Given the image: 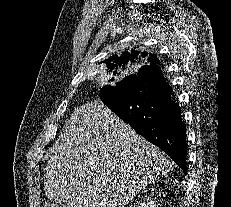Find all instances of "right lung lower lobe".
<instances>
[{"label": "right lung lower lobe", "mask_w": 231, "mask_h": 207, "mask_svg": "<svg viewBox=\"0 0 231 207\" xmlns=\"http://www.w3.org/2000/svg\"><path fill=\"white\" fill-rule=\"evenodd\" d=\"M172 88L157 65H145L100 96L138 134L167 153L186 174V126Z\"/></svg>", "instance_id": "1"}]
</instances>
